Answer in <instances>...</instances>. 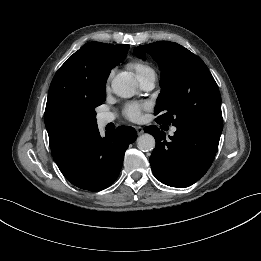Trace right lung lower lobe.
<instances>
[{
	"label": "right lung lower lobe",
	"instance_id": "right-lung-lower-lobe-1",
	"mask_svg": "<svg viewBox=\"0 0 261 261\" xmlns=\"http://www.w3.org/2000/svg\"><path fill=\"white\" fill-rule=\"evenodd\" d=\"M137 138L134 128L120 126L102 138L98 127L91 130L57 163L73 185L90 191L109 187L118 177L129 144Z\"/></svg>",
	"mask_w": 261,
	"mask_h": 261
}]
</instances>
